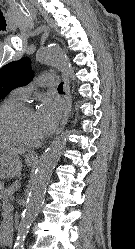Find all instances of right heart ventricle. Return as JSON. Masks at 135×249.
Instances as JSON below:
<instances>
[{"label":"right heart ventricle","instance_id":"right-heart-ventricle-1","mask_svg":"<svg viewBox=\"0 0 135 249\" xmlns=\"http://www.w3.org/2000/svg\"><path fill=\"white\" fill-rule=\"evenodd\" d=\"M22 100L17 98L13 93L7 96L0 103V117L10 107L20 104ZM16 144L10 137L4 134L0 129V145H12Z\"/></svg>","mask_w":135,"mask_h":249}]
</instances>
